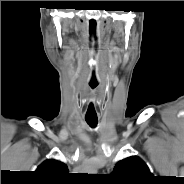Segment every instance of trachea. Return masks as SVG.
Segmentation results:
<instances>
[{
    "instance_id": "3493384b",
    "label": "trachea",
    "mask_w": 184,
    "mask_h": 184,
    "mask_svg": "<svg viewBox=\"0 0 184 184\" xmlns=\"http://www.w3.org/2000/svg\"><path fill=\"white\" fill-rule=\"evenodd\" d=\"M85 120L89 124V126L92 127V128L96 127V125L98 123L97 118H85Z\"/></svg>"
}]
</instances>
